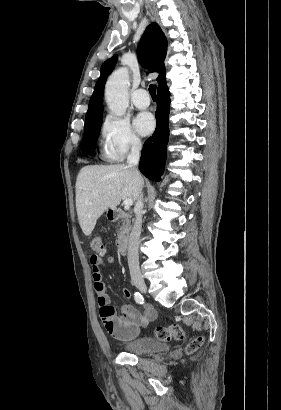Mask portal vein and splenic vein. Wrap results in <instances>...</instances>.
<instances>
[{"mask_svg":"<svg viewBox=\"0 0 281 410\" xmlns=\"http://www.w3.org/2000/svg\"><path fill=\"white\" fill-rule=\"evenodd\" d=\"M123 204H124V208H125V209H129L130 206H132L133 201H132L131 199H125V200L123 201Z\"/></svg>","mask_w":281,"mask_h":410,"instance_id":"18ae733b","label":"portal vein and splenic vein"}]
</instances>
